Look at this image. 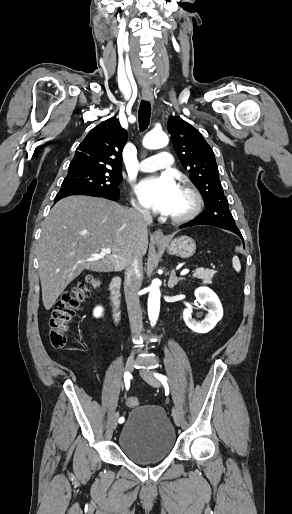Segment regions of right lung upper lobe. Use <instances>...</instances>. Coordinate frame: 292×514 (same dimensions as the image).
Segmentation results:
<instances>
[{"label": "right lung upper lobe", "mask_w": 292, "mask_h": 514, "mask_svg": "<svg viewBox=\"0 0 292 514\" xmlns=\"http://www.w3.org/2000/svg\"><path fill=\"white\" fill-rule=\"evenodd\" d=\"M127 132L115 117L93 128L77 147L70 162L72 172H120Z\"/></svg>", "instance_id": "right-lung-upper-lobe-1"}]
</instances>
